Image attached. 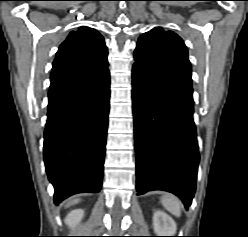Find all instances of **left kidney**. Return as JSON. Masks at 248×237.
I'll list each match as a JSON object with an SVG mask.
<instances>
[{
    "label": "left kidney",
    "mask_w": 248,
    "mask_h": 237,
    "mask_svg": "<svg viewBox=\"0 0 248 237\" xmlns=\"http://www.w3.org/2000/svg\"><path fill=\"white\" fill-rule=\"evenodd\" d=\"M153 228L157 236H174L177 230L174 220L168 214L159 210L154 213Z\"/></svg>",
    "instance_id": "left-kidney-1"
}]
</instances>
